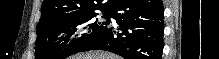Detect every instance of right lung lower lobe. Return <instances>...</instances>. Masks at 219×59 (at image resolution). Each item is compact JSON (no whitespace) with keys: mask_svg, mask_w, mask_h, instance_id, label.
Here are the masks:
<instances>
[{"mask_svg":"<svg viewBox=\"0 0 219 59\" xmlns=\"http://www.w3.org/2000/svg\"><path fill=\"white\" fill-rule=\"evenodd\" d=\"M117 27L107 29L81 51L107 50L125 59H161L163 49L162 0H115L109 11Z\"/></svg>","mask_w":219,"mask_h":59,"instance_id":"98d812e1","label":"right lung lower lobe"}]
</instances>
